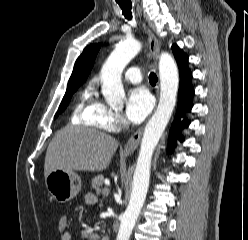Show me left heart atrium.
<instances>
[{
    "instance_id": "obj_1",
    "label": "left heart atrium",
    "mask_w": 248,
    "mask_h": 240,
    "mask_svg": "<svg viewBox=\"0 0 248 240\" xmlns=\"http://www.w3.org/2000/svg\"><path fill=\"white\" fill-rule=\"evenodd\" d=\"M153 98L145 87H135L128 93L126 116L132 123H140L150 113Z\"/></svg>"
}]
</instances>
